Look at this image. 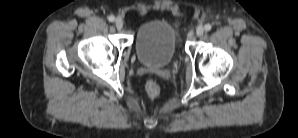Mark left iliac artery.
<instances>
[{
    "label": "left iliac artery",
    "mask_w": 298,
    "mask_h": 138,
    "mask_svg": "<svg viewBox=\"0 0 298 138\" xmlns=\"http://www.w3.org/2000/svg\"><path fill=\"white\" fill-rule=\"evenodd\" d=\"M205 31H210L212 29V26L210 24H206L204 26Z\"/></svg>",
    "instance_id": "1"
}]
</instances>
